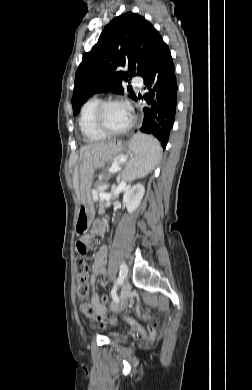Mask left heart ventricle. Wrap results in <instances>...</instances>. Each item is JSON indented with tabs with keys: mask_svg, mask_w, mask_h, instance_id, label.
<instances>
[{
	"mask_svg": "<svg viewBox=\"0 0 252 390\" xmlns=\"http://www.w3.org/2000/svg\"><path fill=\"white\" fill-rule=\"evenodd\" d=\"M102 118L106 128L120 130L129 124L131 112L124 104H111L104 110Z\"/></svg>",
	"mask_w": 252,
	"mask_h": 390,
	"instance_id": "b2bd125f",
	"label": "left heart ventricle"
}]
</instances>
